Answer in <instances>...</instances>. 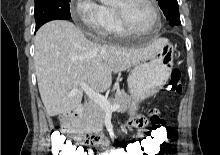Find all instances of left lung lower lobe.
<instances>
[{
  "label": "left lung lower lobe",
  "instance_id": "left-lung-lower-lobe-1",
  "mask_svg": "<svg viewBox=\"0 0 220 155\" xmlns=\"http://www.w3.org/2000/svg\"><path fill=\"white\" fill-rule=\"evenodd\" d=\"M169 25L174 26V25H179L180 24V17H174L170 20H168Z\"/></svg>",
  "mask_w": 220,
  "mask_h": 155
}]
</instances>
